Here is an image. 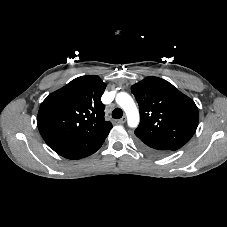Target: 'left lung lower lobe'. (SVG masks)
I'll list each match as a JSON object with an SVG mask.
<instances>
[{"mask_svg": "<svg viewBox=\"0 0 227 227\" xmlns=\"http://www.w3.org/2000/svg\"><path fill=\"white\" fill-rule=\"evenodd\" d=\"M137 144L142 150H144L150 154H153V155H162L167 152L166 150L161 149V148L147 146V145L141 143L140 141H137Z\"/></svg>", "mask_w": 227, "mask_h": 227, "instance_id": "left-lung-lower-lobe-1", "label": "left lung lower lobe"}]
</instances>
